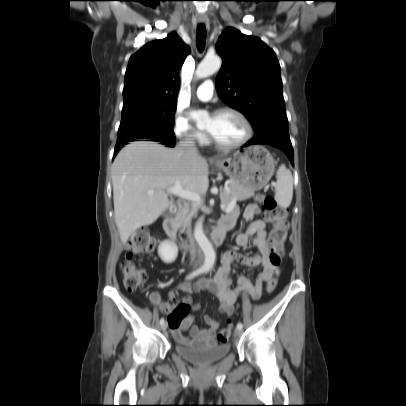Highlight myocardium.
<instances>
[{"instance_id":"myocardium-1","label":"myocardium","mask_w":406,"mask_h":406,"mask_svg":"<svg viewBox=\"0 0 406 406\" xmlns=\"http://www.w3.org/2000/svg\"><path fill=\"white\" fill-rule=\"evenodd\" d=\"M223 113H233L242 121V123L245 127L244 136L236 143L225 144V143L220 142L212 133H210L209 131L206 130L209 140L216 147H218L220 149H224V150L236 149V148L243 146L245 143H247L251 139L252 134H253V128H252L250 121L248 120L246 115L243 112H241L239 109L234 108V107H229V106L222 107V108L216 110L213 115H219V114H223Z\"/></svg>"}]
</instances>
